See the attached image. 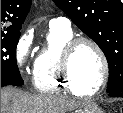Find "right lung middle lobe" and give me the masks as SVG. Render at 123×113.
<instances>
[{
    "label": "right lung middle lobe",
    "instance_id": "dd1d6c3e",
    "mask_svg": "<svg viewBox=\"0 0 123 113\" xmlns=\"http://www.w3.org/2000/svg\"><path fill=\"white\" fill-rule=\"evenodd\" d=\"M19 36L20 34L1 36V87L24 84L16 64V46Z\"/></svg>",
    "mask_w": 123,
    "mask_h": 113
}]
</instances>
